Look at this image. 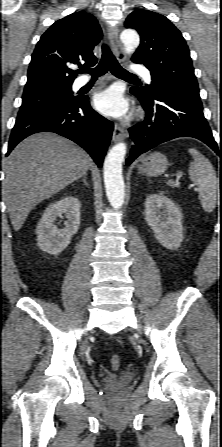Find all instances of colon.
<instances>
[{
  "label": "colon",
  "instance_id": "1",
  "mask_svg": "<svg viewBox=\"0 0 222 447\" xmlns=\"http://www.w3.org/2000/svg\"><path fill=\"white\" fill-rule=\"evenodd\" d=\"M120 357L118 355H113L111 357V366L113 369H117L120 366Z\"/></svg>",
  "mask_w": 222,
  "mask_h": 447
}]
</instances>
